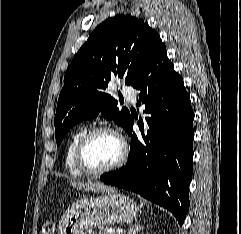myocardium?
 <instances>
[{
	"label": "myocardium",
	"instance_id": "1",
	"mask_svg": "<svg viewBox=\"0 0 241 234\" xmlns=\"http://www.w3.org/2000/svg\"><path fill=\"white\" fill-rule=\"evenodd\" d=\"M99 133H110L116 136L121 143L122 150H121L120 157L113 164L103 168H91L85 161V149L89 141ZM128 155H129L128 145L124 140V138L119 133H117L115 130L107 126H97L87 130L80 138L75 150V162L77 167L84 174L90 175V176H98L120 168L127 161Z\"/></svg>",
	"mask_w": 241,
	"mask_h": 234
}]
</instances>
